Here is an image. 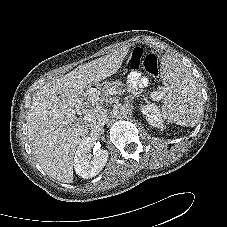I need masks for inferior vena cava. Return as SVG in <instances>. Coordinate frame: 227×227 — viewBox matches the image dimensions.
<instances>
[{
    "mask_svg": "<svg viewBox=\"0 0 227 227\" xmlns=\"http://www.w3.org/2000/svg\"><path fill=\"white\" fill-rule=\"evenodd\" d=\"M108 121L107 111H99L97 114L92 115L89 119V127L92 130H98L102 128Z\"/></svg>",
    "mask_w": 227,
    "mask_h": 227,
    "instance_id": "obj_1",
    "label": "inferior vena cava"
}]
</instances>
